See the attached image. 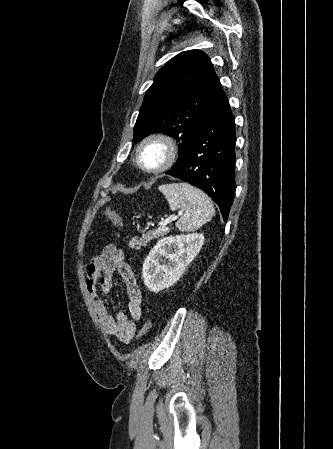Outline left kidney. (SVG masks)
Masks as SVG:
<instances>
[{
    "label": "left kidney",
    "mask_w": 333,
    "mask_h": 449,
    "mask_svg": "<svg viewBox=\"0 0 333 449\" xmlns=\"http://www.w3.org/2000/svg\"><path fill=\"white\" fill-rule=\"evenodd\" d=\"M203 244L204 236L200 233L169 236L159 240L144 261V284L153 292L173 285L200 252ZM163 259H168V263L160 264Z\"/></svg>",
    "instance_id": "obj_1"
}]
</instances>
